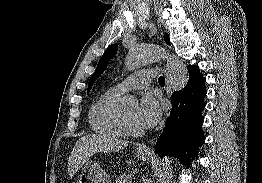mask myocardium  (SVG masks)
Instances as JSON below:
<instances>
[{
    "label": "myocardium",
    "mask_w": 262,
    "mask_h": 183,
    "mask_svg": "<svg viewBox=\"0 0 262 183\" xmlns=\"http://www.w3.org/2000/svg\"><path fill=\"white\" fill-rule=\"evenodd\" d=\"M122 124L127 135L138 137L145 134L143 129L136 128L130 123L125 112H122Z\"/></svg>",
    "instance_id": "1"
}]
</instances>
